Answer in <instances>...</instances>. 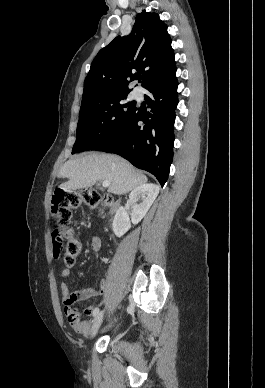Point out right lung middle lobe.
<instances>
[{"label": "right lung middle lobe", "instance_id": "dd1d6c3e", "mask_svg": "<svg viewBox=\"0 0 265 388\" xmlns=\"http://www.w3.org/2000/svg\"><path fill=\"white\" fill-rule=\"evenodd\" d=\"M128 93L105 90L82 99L72 154L101 150L116 136L136 109L131 103H124Z\"/></svg>", "mask_w": 265, "mask_h": 388}]
</instances>
